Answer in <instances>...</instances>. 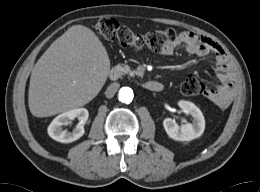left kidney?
<instances>
[{
  "instance_id": "left-kidney-1",
  "label": "left kidney",
  "mask_w": 260,
  "mask_h": 192,
  "mask_svg": "<svg viewBox=\"0 0 260 192\" xmlns=\"http://www.w3.org/2000/svg\"><path fill=\"white\" fill-rule=\"evenodd\" d=\"M178 105L184 113L192 116L193 121L179 126L175 120L165 118L163 126L167 135L177 141H190L200 137L205 129V119L201 110L189 101L181 100Z\"/></svg>"
}]
</instances>
